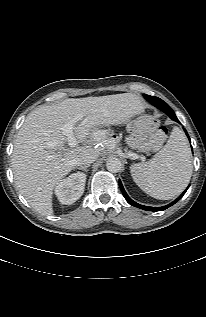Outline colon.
<instances>
[{"label": "colon", "instance_id": "5ec220e1", "mask_svg": "<svg viewBox=\"0 0 206 317\" xmlns=\"http://www.w3.org/2000/svg\"><path fill=\"white\" fill-rule=\"evenodd\" d=\"M141 124L143 127L152 132L150 137V145L153 148L159 147L167 136V127L161 125L155 118L151 116H143L141 119Z\"/></svg>", "mask_w": 206, "mask_h": 317}]
</instances>
